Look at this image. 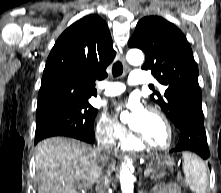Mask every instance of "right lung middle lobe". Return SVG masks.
Here are the masks:
<instances>
[{"label":"right lung middle lobe","mask_w":221,"mask_h":193,"mask_svg":"<svg viewBox=\"0 0 221 193\" xmlns=\"http://www.w3.org/2000/svg\"><path fill=\"white\" fill-rule=\"evenodd\" d=\"M96 114L89 101L37 106L35 141L51 136H93Z\"/></svg>","instance_id":"1"}]
</instances>
